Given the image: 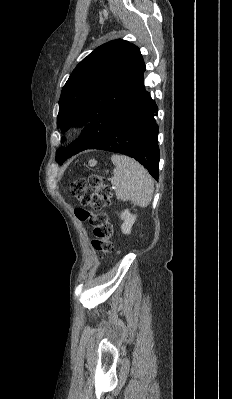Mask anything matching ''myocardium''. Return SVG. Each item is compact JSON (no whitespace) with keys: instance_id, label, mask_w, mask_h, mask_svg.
Masks as SVG:
<instances>
[{"instance_id":"1","label":"myocardium","mask_w":232,"mask_h":399,"mask_svg":"<svg viewBox=\"0 0 232 399\" xmlns=\"http://www.w3.org/2000/svg\"><path fill=\"white\" fill-rule=\"evenodd\" d=\"M76 127H73V128H70L68 131H67V134L68 135H72V134H74L75 132H76Z\"/></svg>"}]
</instances>
